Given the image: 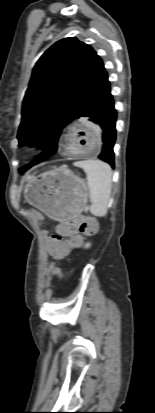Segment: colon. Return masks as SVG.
<instances>
[{
	"label": "colon",
	"mask_w": 155,
	"mask_h": 413,
	"mask_svg": "<svg viewBox=\"0 0 155 413\" xmlns=\"http://www.w3.org/2000/svg\"><path fill=\"white\" fill-rule=\"evenodd\" d=\"M62 225L72 232L85 234L78 237V242L83 244H88L90 242V237L88 235L94 233L97 228L96 221L91 218L84 221L78 219L65 220L62 221ZM48 249L50 254L55 258H69L71 256V251L75 250V245L68 244L63 236L54 234L48 240ZM51 267L56 276L62 275L61 269L56 264H52Z\"/></svg>",
	"instance_id": "obj_1"
}]
</instances>
